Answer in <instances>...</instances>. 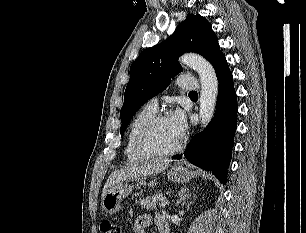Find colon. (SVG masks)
I'll list each match as a JSON object with an SVG mask.
<instances>
[{
    "label": "colon",
    "mask_w": 306,
    "mask_h": 233,
    "mask_svg": "<svg viewBox=\"0 0 306 233\" xmlns=\"http://www.w3.org/2000/svg\"><path fill=\"white\" fill-rule=\"evenodd\" d=\"M100 233H121V231L114 223L104 221L100 225Z\"/></svg>",
    "instance_id": "1"
}]
</instances>
